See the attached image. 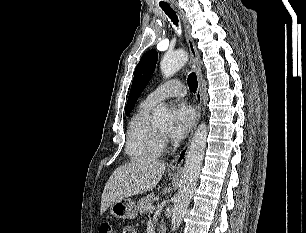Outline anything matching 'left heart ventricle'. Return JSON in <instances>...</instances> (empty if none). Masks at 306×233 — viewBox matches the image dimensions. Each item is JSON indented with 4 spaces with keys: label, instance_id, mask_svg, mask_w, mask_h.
<instances>
[{
    "label": "left heart ventricle",
    "instance_id": "left-heart-ventricle-1",
    "mask_svg": "<svg viewBox=\"0 0 306 233\" xmlns=\"http://www.w3.org/2000/svg\"><path fill=\"white\" fill-rule=\"evenodd\" d=\"M163 133H166L168 130L167 129H162L161 130Z\"/></svg>",
    "mask_w": 306,
    "mask_h": 233
}]
</instances>
